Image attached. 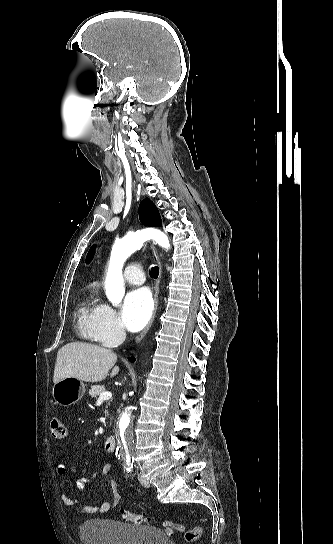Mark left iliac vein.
I'll use <instances>...</instances> for the list:
<instances>
[{
    "label": "left iliac vein",
    "mask_w": 333,
    "mask_h": 544,
    "mask_svg": "<svg viewBox=\"0 0 333 544\" xmlns=\"http://www.w3.org/2000/svg\"><path fill=\"white\" fill-rule=\"evenodd\" d=\"M139 481H140L141 485H143L144 487H149L150 486L149 482L145 478H143L141 475H139Z\"/></svg>",
    "instance_id": "left-iliac-vein-1"
}]
</instances>
